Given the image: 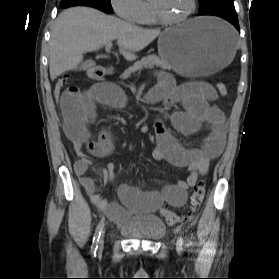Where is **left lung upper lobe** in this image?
<instances>
[{
  "instance_id": "obj_1",
  "label": "left lung upper lobe",
  "mask_w": 279,
  "mask_h": 279,
  "mask_svg": "<svg viewBox=\"0 0 279 279\" xmlns=\"http://www.w3.org/2000/svg\"><path fill=\"white\" fill-rule=\"evenodd\" d=\"M199 3H200L199 13L204 12L217 5L234 4L233 0H199Z\"/></svg>"
}]
</instances>
